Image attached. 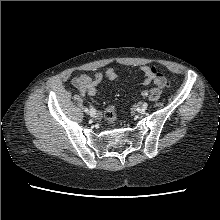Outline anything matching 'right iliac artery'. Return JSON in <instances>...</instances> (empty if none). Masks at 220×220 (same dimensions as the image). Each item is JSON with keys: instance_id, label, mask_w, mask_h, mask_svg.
Segmentation results:
<instances>
[{"instance_id": "right-iliac-artery-1", "label": "right iliac artery", "mask_w": 220, "mask_h": 220, "mask_svg": "<svg viewBox=\"0 0 220 220\" xmlns=\"http://www.w3.org/2000/svg\"><path fill=\"white\" fill-rule=\"evenodd\" d=\"M94 110H95V109H94ZM84 111H85L86 113H89V109H88V108H85Z\"/></svg>"}]
</instances>
